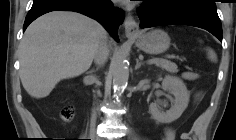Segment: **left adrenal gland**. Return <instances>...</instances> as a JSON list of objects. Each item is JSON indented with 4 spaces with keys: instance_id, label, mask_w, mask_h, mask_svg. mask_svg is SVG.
<instances>
[{
    "instance_id": "left-adrenal-gland-1",
    "label": "left adrenal gland",
    "mask_w": 236,
    "mask_h": 140,
    "mask_svg": "<svg viewBox=\"0 0 236 140\" xmlns=\"http://www.w3.org/2000/svg\"><path fill=\"white\" fill-rule=\"evenodd\" d=\"M144 63L139 61V59H136V66H135V70L139 69L141 67V65H143Z\"/></svg>"
}]
</instances>
